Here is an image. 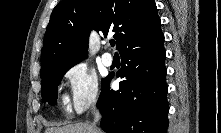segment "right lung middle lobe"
I'll return each mask as SVG.
<instances>
[{
  "label": "right lung middle lobe",
  "instance_id": "dd1d6c3e",
  "mask_svg": "<svg viewBox=\"0 0 221 133\" xmlns=\"http://www.w3.org/2000/svg\"><path fill=\"white\" fill-rule=\"evenodd\" d=\"M77 62H64L49 65L41 71V92L43 101L54 105L57 98L58 85L63 75Z\"/></svg>",
  "mask_w": 221,
  "mask_h": 133
}]
</instances>
